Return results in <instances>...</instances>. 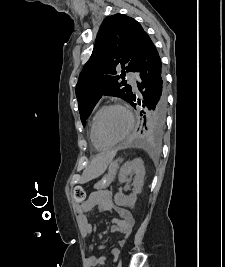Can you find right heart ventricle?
Returning <instances> with one entry per match:
<instances>
[{"mask_svg": "<svg viewBox=\"0 0 225 267\" xmlns=\"http://www.w3.org/2000/svg\"><path fill=\"white\" fill-rule=\"evenodd\" d=\"M101 108H97L94 110L91 118H90V122H89V128H88V135H89V139H90V142L92 144V146L95 148V149H98V150H102V149H106V148H109L110 146L108 145H105L103 143H101L97 138H96V135H95V132H94V122H95V119L98 115V113L100 112Z\"/></svg>", "mask_w": 225, "mask_h": 267, "instance_id": "1", "label": "right heart ventricle"}]
</instances>
